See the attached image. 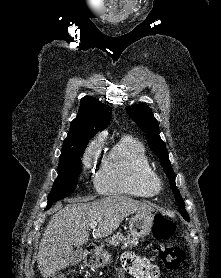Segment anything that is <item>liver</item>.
Segmentation results:
<instances>
[{"label": "liver", "instance_id": "liver-1", "mask_svg": "<svg viewBox=\"0 0 221 278\" xmlns=\"http://www.w3.org/2000/svg\"><path fill=\"white\" fill-rule=\"evenodd\" d=\"M83 202L71 200L50 219L37 256L38 268L44 278L70 264L73 246L89 241L88 230L92 222L98 225L94 236L102 238L112 234L129 215L153 211L149 205L121 195Z\"/></svg>", "mask_w": 221, "mask_h": 278}]
</instances>
